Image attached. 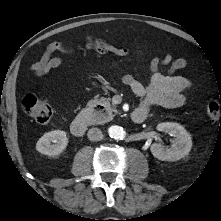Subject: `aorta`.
I'll use <instances>...</instances> for the list:
<instances>
[{
	"label": "aorta",
	"instance_id": "obj_1",
	"mask_svg": "<svg viewBox=\"0 0 221 221\" xmlns=\"http://www.w3.org/2000/svg\"><path fill=\"white\" fill-rule=\"evenodd\" d=\"M108 133H109L110 137H112L114 139H123L125 136V132H124L123 128L119 127V126H111L108 129Z\"/></svg>",
	"mask_w": 221,
	"mask_h": 221
}]
</instances>
